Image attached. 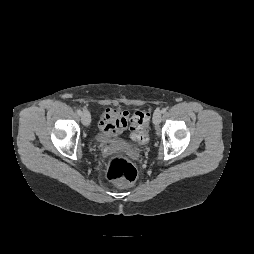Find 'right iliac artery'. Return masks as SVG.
<instances>
[{
  "mask_svg": "<svg viewBox=\"0 0 254 254\" xmlns=\"http://www.w3.org/2000/svg\"><path fill=\"white\" fill-rule=\"evenodd\" d=\"M78 115H82V111L80 109H77Z\"/></svg>",
  "mask_w": 254,
  "mask_h": 254,
  "instance_id": "1",
  "label": "right iliac artery"
}]
</instances>
